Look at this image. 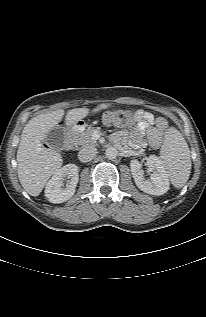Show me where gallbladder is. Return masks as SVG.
<instances>
[{"label":"gallbladder","mask_w":206,"mask_h":317,"mask_svg":"<svg viewBox=\"0 0 206 317\" xmlns=\"http://www.w3.org/2000/svg\"><path fill=\"white\" fill-rule=\"evenodd\" d=\"M46 144L52 150L59 151L64 147L65 130L63 127L56 126L51 129L45 138Z\"/></svg>","instance_id":"1"}]
</instances>
